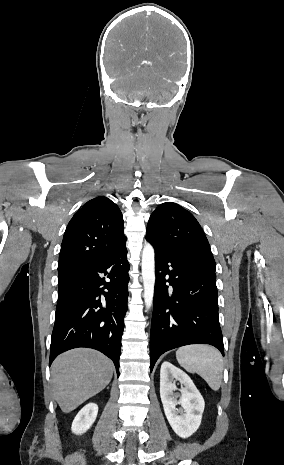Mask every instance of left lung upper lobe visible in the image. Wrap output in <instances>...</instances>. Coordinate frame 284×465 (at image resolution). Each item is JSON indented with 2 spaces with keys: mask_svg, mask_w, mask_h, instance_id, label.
<instances>
[{
  "mask_svg": "<svg viewBox=\"0 0 284 465\" xmlns=\"http://www.w3.org/2000/svg\"><path fill=\"white\" fill-rule=\"evenodd\" d=\"M146 239L155 247L215 271L209 242L196 218L173 202L159 205L151 214Z\"/></svg>",
  "mask_w": 284,
  "mask_h": 465,
  "instance_id": "obj_1",
  "label": "left lung upper lobe"
}]
</instances>
